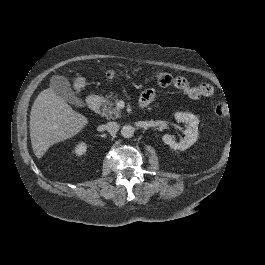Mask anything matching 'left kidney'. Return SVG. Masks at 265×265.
Returning a JSON list of instances; mask_svg holds the SVG:
<instances>
[{"label":"left kidney","instance_id":"5707ae66","mask_svg":"<svg viewBox=\"0 0 265 265\" xmlns=\"http://www.w3.org/2000/svg\"><path fill=\"white\" fill-rule=\"evenodd\" d=\"M174 116L178 122H185L187 124V128L184 131L185 137L177 143L171 135L165 134L162 140L174 150H185L192 146L198 139L199 119L191 113L184 112H177Z\"/></svg>","mask_w":265,"mask_h":265}]
</instances>
